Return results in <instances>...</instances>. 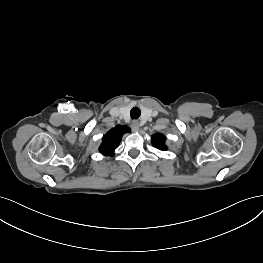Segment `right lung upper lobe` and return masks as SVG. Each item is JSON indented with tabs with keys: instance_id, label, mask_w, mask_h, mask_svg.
Returning a JSON list of instances; mask_svg holds the SVG:
<instances>
[{
	"instance_id": "1",
	"label": "right lung upper lobe",
	"mask_w": 263,
	"mask_h": 263,
	"mask_svg": "<svg viewBox=\"0 0 263 263\" xmlns=\"http://www.w3.org/2000/svg\"><path fill=\"white\" fill-rule=\"evenodd\" d=\"M130 132L127 126L117 125L111 129L104 137L99 151L104 155H113L118 147L124 133Z\"/></svg>"
}]
</instances>
